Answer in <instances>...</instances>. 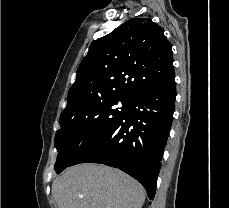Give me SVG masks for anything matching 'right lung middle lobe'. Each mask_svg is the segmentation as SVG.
<instances>
[{"instance_id":"right-lung-middle-lobe-1","label":"right lung middle lobe","mask_w":229,"mask_h":208,"mask_svg":"<svg viewBox=\"0 0 229 208\" xmlns=\"http://www.w3.org/2000/svg\"><path fill=\"white\" fill-rule=\"evenodd\" d=\"M131 99L124 96L101 98L60 118L61 129L55 136L58 151L55 171L60 173L67 168L84 147L111 128L127 111Z\"/></svg>"}]
</instances>
